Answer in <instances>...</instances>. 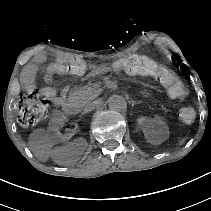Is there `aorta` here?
<instances>
[{"label": "aorta", "mask_w": 211, "mask_h": 211, "mask_svg": "<svg viewBox=\"0 0 211 211\" xmlns=\"http://www.w3.org/2000/svg\"><path fill=\"white\" fill-rule=\"evenodd\" d=\"M108 106L112 110L122 111L126 109V101L120 95H112L108 98Z\"/></svg>", "instance_id": "762f6f07"}]
</instances>
